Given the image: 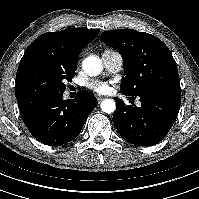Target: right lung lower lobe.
Masks as SVG:
<instances>
[{
    "instance_id": "right-lung-lower-lobe-1",
    "label": "right lung lower lobe",
    "mask_w": 199,
    "mask_h": 199,
    "mask_svg": "<svg viewBox=\"0 0 199 199\" xmlns=\"http://www.w3.org/2000/svg\"><path fill=\"white\" fill-rule=\"evenodd\" d=\"M62 95L17 99L24 124L45 145L59 146L76 138L97 105L94 95L84 90L73 100H63Z\"/></svg>"
}]
</instances>
